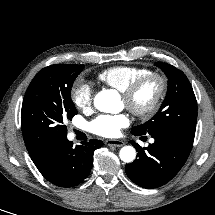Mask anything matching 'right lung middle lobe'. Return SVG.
I'll return each instance as SVG.
<instances>
[{"mask_svg": "<svg viewBox=\"0 0 215 215\" xmlns=\"http://www.w3.org/2000/svg\"><path fill=\"white\" fill-rule=\"evenodd\" d=\"M83 67L55 64L37 73L22 104L21 129L25 144L46 149L67 138L64 122L77 114L71 99V88Z\"/></svg>", "mask_w": 215, "mask_h": 215, "instance_id": "right-lung-middle-lobe-1", "label": "right lung middle lobe"}]
</instances>
